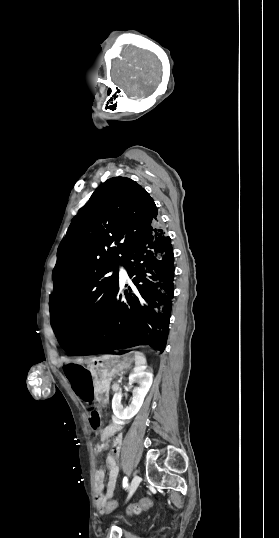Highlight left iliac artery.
<instances>
[{"label": "left iliac artery", "instance_id": "left-iliac-artery-1", "mask_svg": "<svg viewBox=\"0 0 279 538\" xmlns=\"http://www.w3.org/2000/svg\"><path fill=\"white\" fill-rule=\"evenodd\" d=\"M127 486H128V479H127V477H124L123 478V487L127 488Z\"/></svg>", "mask_w": 279, "mask_h": 538}]
</instances>
